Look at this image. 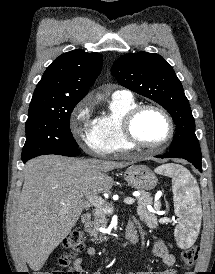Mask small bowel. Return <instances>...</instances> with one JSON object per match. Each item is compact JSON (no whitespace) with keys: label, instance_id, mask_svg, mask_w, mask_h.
<instances>
[{"label":"small bowel","instance_id":"c3829d8e","mask_svg":"<svg viewBox=\"0 0 215 274\" xmlns=\"http://www.w3.org/2000/svg\"><path fill=\"white\" fill-rule=\"evenodd\" d=\"M134 227V225H132ZM135 228V227H134ZM153 252L156 257L160 258L164 265L167 267L165 270L160 272H144V271H136L130 272L129 274H176L175 256L168 250L166 244L162 239H157L153 244ZM86 253L88 256H95L96 249L93 246H89L86 249ZM83 259L81 257L76 258L73 261L72 269L70 270L72 274H84L87 272L86 269L82 267ZM92 274H103L101 272H93ZM185 274H192L191 272H187Z\"/></svg>","mask_w":215,"mask_h":274}]
</instances>
